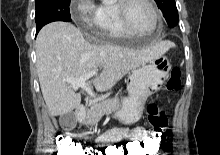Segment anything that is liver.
Wrapping results in <instances>:
<instances>
[{"label": "liver", "mask_w": 220, "mask_h": 155, "mask_svg": "<svg viewBox=\"0 0 220 155\" xmlns=\"http://www.w3.org/2000/svg\"><path fill=\"white\" fill-rule=\"evenodd\" d=\"M172 43L134 50L114 45H96L86 41L73 24L52 22L44 26L36 39V67L45 103L52 116L73 111L81 95L67 78H79L100 68L92 80L99 92L112 88L125 74L166 53Z\"/></svg>", "instance_id": "liver-1"}]
</instances>
